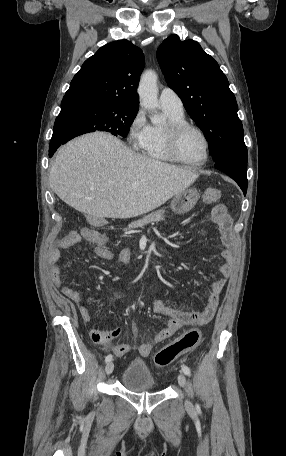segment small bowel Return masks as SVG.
<instances>
[{"instance_id": "c3829d8e", "label": "small bowel", "mask_w": 286, "mask_h": 456, "mask_svg": "<svg viewBox=\"0 0 286 456\" xmlns=\"http://www.w3.org/2000/svg\"><path fill=\"white\" fill-rule=\"evenodd\" d=\"M209 219L219 225L222 236V243L224 247L222 251V258L224 263L220 266V273L223 278L212 283L211 292L207 297L206 304L204 308L199 311L187 312L169 306L162 300L154 301V312L158 315L168 317L169 320L166 326L157 333L151 343L140 345L139 353L142 346H147L149 349V353L145 356H148L151 353L155 344L171 337L182 327L204 325L208 323L215 314L219 304L220 295L226 285L227 279L233 272V250L235 239L232 231V219L227 213V209L224 205L219 204L214 206L210 212ZM77 233L78 232L73 231L60 237L58 240V246L51 251L49 257L51 264V277L55 285L61 288L64 296L77 306L83 321L90 322L92 320V314L88 306L82 301L80 292L70 285L62 283L60 268L58 266V262L61 257V249L74 245L83 237L86 241L95 245L94 254L102 259H117L123 264H129L132 260V252L127 248H122L118 251L109 248L107 246L106 237L101 232L87 229L86 231H82V234ZM131 329L135 336L139 334V328L135 323H132ZM121 331V328H114L110 331L92 328L89 331V335L92 341L105 347L106 349L111 350L117 357H122L130 352L131 347L127 344H113V340L120 336Z\"/></svg>"}]
</instances>
